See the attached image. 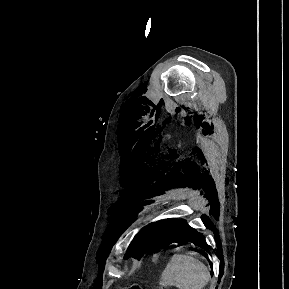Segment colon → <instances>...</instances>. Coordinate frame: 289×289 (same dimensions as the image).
Returning <instances> with one entry per match:
<instances>
[{"instance_id": "5ec220e1", "label": "colon", "mask_w": 289, "mask_h": 289, "mask_svg": "<svg viewBox=\"0 0 289 289\" xmlns=\"http://www.w3.org/2000/svg\"><path fill=\"white\" fill-rule=\"evenodd\" d=\"M132 289H142L139 285H133Z\"/></svg>"}]
</instances>
